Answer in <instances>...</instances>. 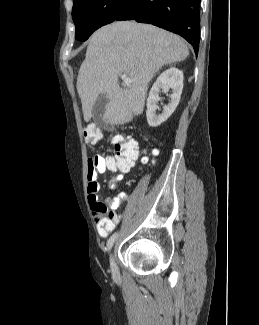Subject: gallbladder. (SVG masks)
<instances>
[{
    "label": "gallbladder",
    "instance_id": "gallbladder-1",
    "mask_svg": "<svg viewBox=\"0 0 259 325\" xmlns=\"http://www.w3.org/2000/svg\"><path fill=\"white\" fill-rule=\"evenodd\" d=\"M107 98L105 95H101L98 97V99L96 100L94 106H93V109H92V115H93V118L99 122L100 124H102V126L106 129H110V126L108 125H105L103 122H102V117H103V114H104V111H105V108H106V105H107Z\"/></svg>",
    "mask_w": 259,
    "mask_h": 325
}]
</instances>
